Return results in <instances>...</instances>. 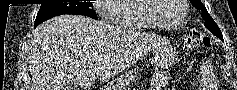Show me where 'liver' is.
<instances>
[{
  "mask_svg": "<svg viewBox=\"0 0 237 90\" xmlns=\"http://www.w3.org/2000/svg\"><path fill=\"white\" fill-rule=\"evenodd\" d=\"M144 34L84 16H57L32 32L28 60L33 90H87L129 68Z\"/></svg>",
  "mask_w": 237,
  "mask_h": 90,
  "instance_id": "liver-1",
  "label": "liver"
}]
</instances>
